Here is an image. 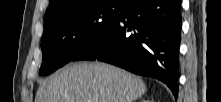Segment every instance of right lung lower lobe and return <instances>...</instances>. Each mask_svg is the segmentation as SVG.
<instances>
[{"instance_id": "right-lung-lower-lobe-1", "label": "right lung lower lobe", "mask_w": 221, "mask_h": 102, "mask_svg": "<svg viewBox=\"0 0 221 102\" xmlns=\"http://www.w3.org/2000/svg\"><path fill=\"white\" fill-rule=\"evenodd\" d=\"M179 0H125L118 20L73 61L100 60L164 82L178 95Z\"/></svg>"}]
</instances>
